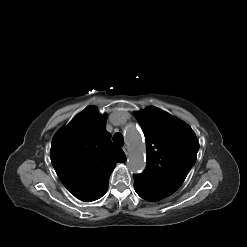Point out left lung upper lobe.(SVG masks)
<instances>
[{"mask_svg": "<svg viewBox=\"0 0 247 247\" xmlns=\"http://www.w3.org/2000/svg\"><path fill=\"white\" fill-rule=\"evenodd\" d=\"M135 117L145 135L147 165L134 176L168 197L182 185L196 161L197 137L188 124L156 107L135 112Z\"/></svg>", "mask_w": 247, "mask_h": 247, "instance_id": "obj_1", "label": "left lung upper lobe"}]
</instances>
